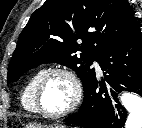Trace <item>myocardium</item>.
<instances>
[{
	"mask_svg": "<svg viewBox=\"0 0 142 128\" xmlns=\"http://www.w3.org/2000/svg\"><path fill=\"white\" fill-rule=\"evenodd\" d=\"M53 74L65 75L69 79L73 89L72 100L69 106L63 111L57 112V113H50L45 111L40 104V94H41L42 85L45 79ZM82 96H83V88H82L81 81L79 77L77 76V74L72 69L68 67H64V66H56V67L46 69L42 73V75L39 77L35 85L34 103H35L36 112H38L44 117L51 118V119H58V118L65 117L69 115L70 113H72L78 107V105L80 104L82 100Z\"/></svg>",
	"mask_w": 142,
	"mask_h": 128,
	"instance_id": "1",
	"label": "myocardium"
}]
</instances>
